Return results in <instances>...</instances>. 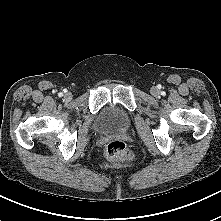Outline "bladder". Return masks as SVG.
<instances>
[{
	"mask_svg": "<svg viewBox=\"0 0 221 221\" xmlns=\"http://www.w3.org/2000/svg\"><path fill=\"white\" fill-rule=\"evenodd\" d=\"M131 125L129 113L116 104L104 106L98 113L94 128L102 134L125 132Z\"/></svg>",
	"mask_w": 221,
	"mask_h": 221,
	"instance_id": "obj_1",
	"label": "bladder"
}]
</instances>
